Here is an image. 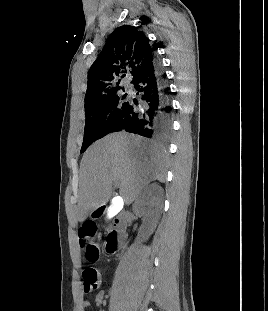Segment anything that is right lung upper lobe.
Here are the masks:
<instances>
[{"mask_svg": "<svg viewBox=\"0 0 268 311\" xmlns=\"http://www.w3.org/2000/svg\"><path fill=\"white\" fill-rule=\"evenodd\" d=\"M155 50L146 35L135 27L123 25L116 28L90 68L85 111L121 89L118 86L120 80L116 84L115 80L123 73L121 77L125 73L131 76V83L141 76L154 61Z\"/></svg>", "mask_w": 268, "mask_h": 311, "instance_id": "cb5924a9", "label": "right lung upper lobe"}]
</instances>
